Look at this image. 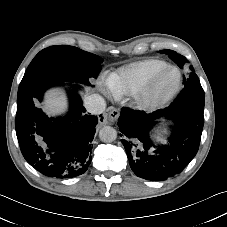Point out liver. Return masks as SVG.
I'll list each match as a JSON object with an SVG mask.
<instances>
[{
    "mask_svg": "<svg viewBox=\"0 0 227 227\" xmlns=\"http://www.w3.org/2000/svg\"><path fill=\"white\" fill-rule=\"evenodd\" d=\"M88 90L89 88H86V92ZM66 108L67 101L64 95L55 90H50L46 93L44 110L49 116L61 114L65 112Z\"/></svg>",
    "mask_w": 227,
    "mask_h": 227,
    "instance_id": "1",
    "label": "liver"
}]
</instances>
